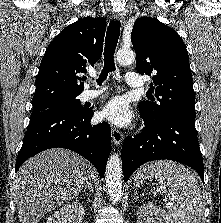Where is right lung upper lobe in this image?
<instances>
[{
	"label": "right lung upper lobe",
	"instance_id": "cb5924a9",
	"mask_svg": "<svg viewBox=\"0 0 221 223\" xmlns=\"http://www.w3.org/2000/svg\"><path fill=\"white\" fill-rule=\"evenodd\" d=\"M106 22L85 17L65 27L49 44L36 78L33 104L78 96L84 83L78 77L102 54Z\"/></svg>",
	"mask_w": 221,
	"mask_h": 223
}]
</instances>
